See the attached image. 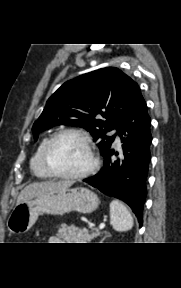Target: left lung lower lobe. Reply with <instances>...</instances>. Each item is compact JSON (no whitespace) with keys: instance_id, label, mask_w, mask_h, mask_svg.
<instances>
[{"instance_id":"left-lung-lower-lobe-1","label":"left lung lower lobe","mask_w":181,"mask_h":288,"mask_svg":"<svg viewBox=\"0 0 181 288\" xmlns=\"http://www.w3.org/2000/svg\"><path fill=\"white\" fill-rule=\"evenodd\" d=\"M150 125L147 105L139 89L118 129L123 143L124 160L121 163L119 160L113 162L111 155L118 153L110 148L103 155L104 166L100 172L83 180L106 195L127 203L135 213L140 227L143 223V205L147 195L146 179L151 159Z\"/></svg>"}]
</instances>
